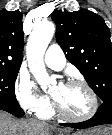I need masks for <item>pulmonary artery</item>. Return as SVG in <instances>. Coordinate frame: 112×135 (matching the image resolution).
Listing matches in <instances>:
<instances>
[{
	"instance_id": "pulmonary-artery-1",
	"label": "pulmonary artery",
	"mask_w": 112,
	"mask_h": 135,
	"mask_svg": "<svg viewBox=\"0 0 112 135\" xmlns=\"http://www.w3.org/2000/svg\"><path fill=\"white\" fill-rule=\"evenodd\" d=\"M46 65L54 70H61L66 64L62 48L58 44H51L44 56Z\"/></svg>"
}]
</instances>
